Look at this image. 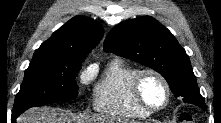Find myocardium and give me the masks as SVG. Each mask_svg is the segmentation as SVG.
Wrapping results in <instances>:
<instances>
[{
  "label": "myocardium",
  "instance_id": "f54148a6",
  "mask_svg": "<svg viewBox=\"0 0 221 123\" xmlns=\"http://www.w3.org/2000/svg\"><path fill=\"white\" fill-rule=\"evenodd\" d=\"M147 75H152V76L156 77L162 83V85L165 89L166 99H165L164 104L160 107H152L149 104H147L141 94V82H142L143 78ZM130 88H131L132 97H133L134 101L136 102V104L140 108H142L144 111H146L150 114L165 110L170 103V100H171L170 85H169L167 79L164 77V75L153 68H145V69L138 70L131 80Z\"/></svg>",
  "mask_w": 221,
  "mask_h": 123
}]
</instances>
